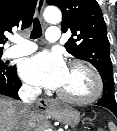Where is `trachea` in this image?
Segmentation results:
<instances>
[{
  "mask_svg": "<svg viewBox=\"0 0 117 131\" xmlns=\"http://www.w3.org/2000/svg\"><path fill=\"white\" fill-rule=\"evenodd\" d=\"M42 36V28H41V24L38 18L34 19V23H33V29L31 32L30 37L32 39H37L40 38Z\"/></svg>",
  "mask_w": 117,
  "mask_h": 131,
  "instance_id": "1",
  "label": "trachea"
}]
</instances>
